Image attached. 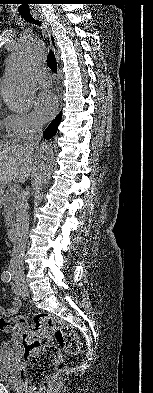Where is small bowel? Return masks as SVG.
<instances>
[{
	"instance_id": "1",
	"label": "small bowel",
	"mask_w": 153,
	"mask_h": 393,
	"mask_svg": "<svg viewBox=\"0 0 153 393\" xmlns=\"http://www.w3.org/2000/svg\"><path fill=\"white\" fill-rule=\"evenodd\" d=\"M11 305L12 306L10 308L0 305V317L9 316L16 313L21 306V299L16 296L13 297L11 300Z\"/></svg>"
}]
</instances>
